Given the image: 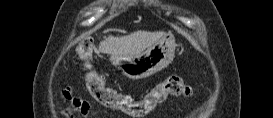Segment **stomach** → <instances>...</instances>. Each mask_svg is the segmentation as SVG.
<instances>
[{"instance_id": "obj_1", "label": "stomach", "mask_w": 273, "mask_h": 118, "mask_svg": "<svg viewBox=\"0 0 273 118\" xmlns=\"http://www.w3.org/2000/svg\"><path fill=\"white\" fill-rule=\"evenodd\" d=\"M175 38L164 35L155 44L136 55H111L112 64L130 79L149 77L167 67L175 56Z\"/></svg>"}]
</instances>
